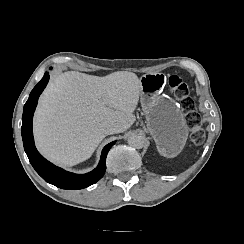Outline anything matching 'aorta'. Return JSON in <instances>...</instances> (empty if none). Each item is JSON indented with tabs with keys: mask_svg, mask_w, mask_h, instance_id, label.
<instances>
[{
	"mask_svg": "<svg viewBox=\"0 0 244 244\" xmlns=\"http://www.w3.org/2000/svg\"><path fill=\"white\" fill-rule=\"evenodd\" d=\"M128 144L136 149H141L144 146V138L136 133L129 135Z\"/></svg>",
	"mask_w": 244,
	"mask_h": 244,
	"instance_id": "aorta-1",
	"label": "aorta"
}]
</instances>
